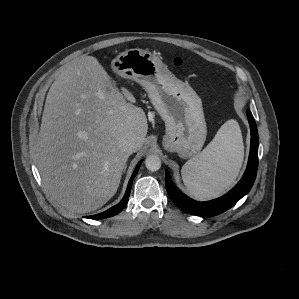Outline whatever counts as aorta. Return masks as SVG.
Segmentation results:
<instances>
[{"label": "aorta", "mask_w": 299, "mask_h": 299, "mask_svg": "<svg viewBox=\"0 0 299 299\" xmlns=\"http://www.w3.org/2000/svg\"><path fill=\"white\" fill-rule=\"evenodd\" d=\"M145 166L150 171H157L161 167V160L157 155H150L145 159Z\"/></svg>", "instance_id": "1"}]
</instances>
